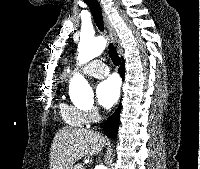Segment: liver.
<instances>
[{"label":"liver","mask_w":200,"mask_h":169,"mask_svg":"<svg viewBox=\"0 0 200 169\" xmlns=\"http://www.w3.org/2000/svg\"><path fill=\"white\" fill-rule=\"evenodd\" d=\"M105 144L106 138L98 132L64 127L53 139L50 169H73L77 161L98 154Z\"/></svg>","instance_id":"1"}]
</instances>
